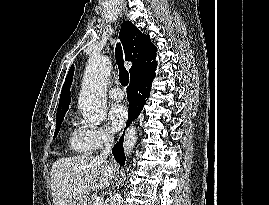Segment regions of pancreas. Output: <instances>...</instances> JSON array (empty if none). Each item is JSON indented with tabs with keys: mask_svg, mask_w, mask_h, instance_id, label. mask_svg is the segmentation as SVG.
Returning <instances> with one entry per match:
<instances>
[{
	"mask_svg": "<svg viewBox=\"0 0 269 205\" xmlns=\"http://www.w3.org/2000/svg\"><path fill=\"white\" fill-rule=\"evenodd\" d=\"M85 202H86V205H93V203H94V197L91 196L89 198H86L85 199Z\"/></svg>",
	"mask_w": 269,
	"mask_h": 205,
	"instance_id": "pancreas-1",
	"label": "pancreas"
}]
</instances>
